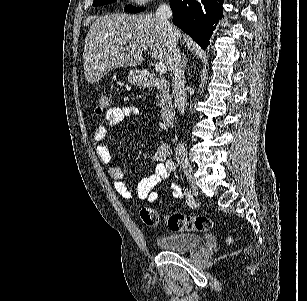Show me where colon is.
<instances>
[{
	"mask_svg": "<svg viewBox=\"0 0 307 301\" xmlns=\"http://www.w3.org/2000/svg\"><path fill=\"white\" fill-rule=\"evenodd\" d=\"M110 99L106 93H101L97 100L95 112L102 115L109 110ZM143 223L149 227H156L160 222L159 213L151 207H143L140 211ZM165 222L171 231H208L212 227V221L204 215H185L172 213L166 216Z\"/></svg>",
	"mask_w": 307,
	"mask_h": 301,
	"instance_id": "1",
	"label": "colon"
}]
</instances>
